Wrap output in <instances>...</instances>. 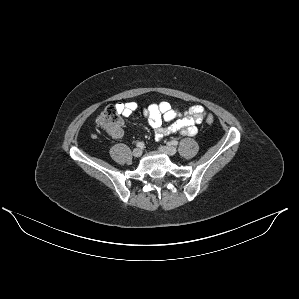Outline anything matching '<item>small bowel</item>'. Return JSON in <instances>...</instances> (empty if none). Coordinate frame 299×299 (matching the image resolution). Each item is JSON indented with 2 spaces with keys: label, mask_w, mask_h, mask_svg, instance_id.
I'll use <instances>...</instances> for the list:
<instances>
[{
  "label": "small bowel",
  "mask_w": 299,
  "mask_h": 299,
  "mask_svg": "<svg viewBox=\"0 0 299 299\" xmlns=\"http://www.w3.org/2000/svg\"><path fill=\"white\" fill-rule=\"evenodd\" d=\"M114 107L122 116L130 117L138 110L139 105L134 101H129L117 102ZM143 112L157 140H161L174 133L193 136L197 133L196 125L201 123L205 118V110L200 105L180 111L173 108L167 101L145 106ZM163 122L171 123L168 126H164ZM111 136L115 139H120L124 136V131L121 129L118 133L111 134Z\"/></svg>",
  "instance_id": "c3829d8e"
}]
</instances>
